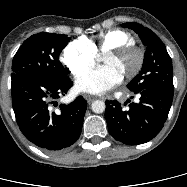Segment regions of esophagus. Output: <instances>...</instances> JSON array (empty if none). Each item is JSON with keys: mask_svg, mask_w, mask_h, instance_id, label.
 <instances>
[{"mask_svg": "<svg viewBox=\"0 0 187 187\" xmlns=\"http://www.w3.org/2000/svg\"><path fill=\"white\" fill-rule=\"evenodd\" d=\"M83 96H84V98L87 100V102H88L89 104H90L91 102H93V101L96 99V97L91 96V95H87V94H84Z\"/></svg>", "mask_w": 187, "mask_h": 187, "instance_id": "1", "label": "esophagus"}]
</instances>
